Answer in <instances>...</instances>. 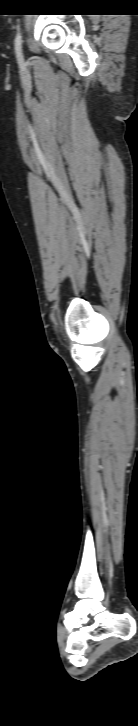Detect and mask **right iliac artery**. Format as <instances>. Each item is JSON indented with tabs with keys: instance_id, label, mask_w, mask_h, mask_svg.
I'll use <instances>...</instances> for the list:
<instances>
[{
	"instance_id": "82829eb1",
	"label": "right iliac artery",
	"mask_w": 138,
	"mask_h": 726,
	"mask_svg": "<svg viewBox=\"0 0 138 726\" xmlns=\"http://www.w3.org/2000/svg\"><path fill=\"white\" fill-rule=\"evenodd\" d=\"M21 43H22L21 33L18 32V34L15 38V52H16L17 60L20 64L23 63Z\"/></svg>"
}]
</instances>
